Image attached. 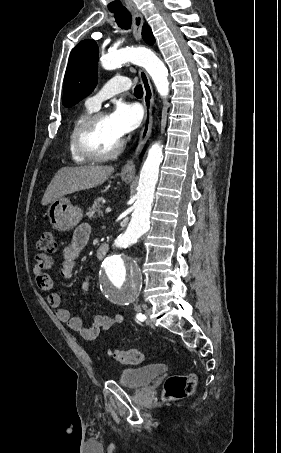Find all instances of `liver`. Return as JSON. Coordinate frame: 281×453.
<instances>
[{
    "label": "liver",
    "instance_id": "1",
    "mask_svg": "<svg viewBox=\"0 0 281 453\" xmlns=\"http://www.w3.org/2000/svg\"><path fill=\"white\" fill-rule=\"evenodd\" d=\"M114 170V166H98V164L62 166L48 184L41 202L42 204H49V202L64 196V194L99 186L107 180Z\"/></svg>",
    "mask_w": 281,
    "mask_h": 453
}]
</instances>
